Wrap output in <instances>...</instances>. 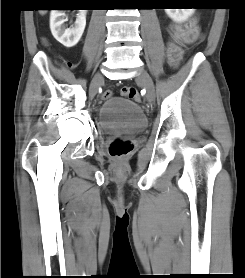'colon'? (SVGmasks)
Wrapping results in <instances>:
<instances>
[{
  "label": "colon",
  "mask_w": 245,
  "mask_h": 278,
  "mask_svg": "<svg viewBox=\"0 0 245 278\" xmlns=\"http://www.w3.org/2000/svg\"><path fill=\"white\" fill-rule=\"evenodd\" d=\"M196 8L207 11L208 8H211L209 4L206 3H199L196 5ZM121 94L130 100H133L135 102H140L141 97L138 94L137 90L134 87H123L121 88ZM103 98H109L112 96V93L110 91H104L102 94ZM133 149V145L130 141L122 140L120 138H116L112 141L109 152L111 157L116 160L120 161L125 156H127Z\"/></svg>",
  "instance_id": "obj_1"
}]
</instances>
